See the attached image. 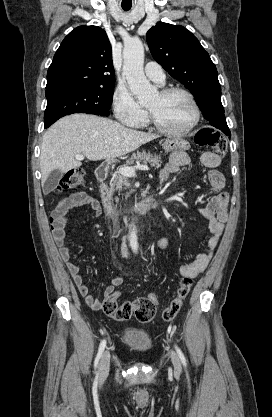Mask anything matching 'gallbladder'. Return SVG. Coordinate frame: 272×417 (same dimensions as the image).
Segmentation results:
<instances>
[{
    "label": "gallbladder",
    "instance_id": "bac80fb5",
    "mask_svg": "<svg viewBox=\"0 0 272 417\" xmlns=\"http://www.w3.org/2000/svg\"><path fill=\"white\" fill-rule=\"evenodd\" d=\"M62 176H63V172L61 170L57 169V170L52 171L43 185V192L46 194H49L50 192L55 190Z\"/></svg>",
    "mask_w": 272,
    "mask_h": 417
}]
</instances>
